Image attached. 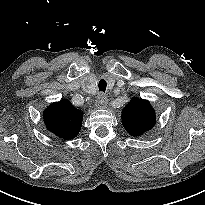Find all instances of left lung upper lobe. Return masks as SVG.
I'll list each match as a JSON object with an SVG mask.
<instances>
[{"instance_id": "left-lung-upper-lobe-1", "label": "left lung upper lobe", "mask_w": 205, "mask_h": 205, "mask_svg": "<svg viewBox=\"0 0 205 205\" xmlns=\"http://www.w3.org/2000/svg\"><path fill=\"white\" fill-rule=\"evenodd\" d=\"M156 122V115L147 100L134 97L122 110V124L132 136H140L151 130Z\"/></svg>"}]
</instances>
